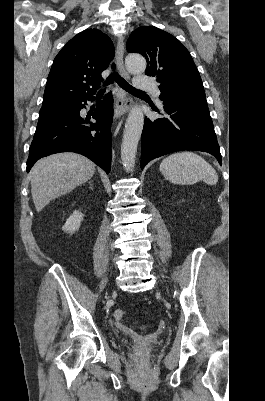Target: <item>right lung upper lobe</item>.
<instances>
[{
  "label": "right lung upper lobe",
  "instance_id": "cb5924a9",
  "mask_svg": "<svg viewBox=\"0 0 265 401\" xmlns=\"http://www.w3.org/2000/svg\"><path fill=\"white\" fill-rule=\"evenodd\" d=\"M113 57V43L100 30L87 29L77 34L54 59L42 106L93 97L103 81L101 72Z\"/></svg>",
  "mask_w": 265,
  "mask_h": 401
}]
</instances>
